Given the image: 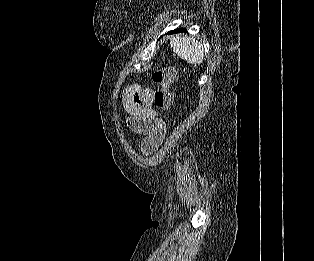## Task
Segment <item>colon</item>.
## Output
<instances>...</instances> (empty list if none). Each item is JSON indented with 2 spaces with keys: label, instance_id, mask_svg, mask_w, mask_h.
I'll return each mask as SVG.
<instances>
[{
  "label": "colon",
  "instance_id": "5ec220e1",
  "mask_svg": "<svg viewBox=\"0 0 314 261\" xmlns=\"http://www.w3.org/2000/svg\"><path fill=\"white\" fill-rule=\"evenodd\" d=\"M175 70L171 66H163L154 71L152 79L158 86L153 96L155 106L166 112L173 103V94L170 90L172 83L175 81Z\"/></svg>",
  "mask_w": 314,
  "mask_h": 261
}]
</instances>
